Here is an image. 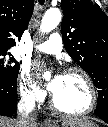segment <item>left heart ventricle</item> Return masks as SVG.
I'll use <instances>...</instances> for the list:
<instances>
[{
	"label": "left heart ventricle",
	"mask_w": 108,
	"mask_h": 127,
	"mask_svg": "<svg viewBox=\"0 0 108 127\" xmlns=\"http://www.w3.org/2000/svg\"><path fill=\"white\" fill-rule=\"evenodd\" d=\"M54 98L59 107L66 111L84 110L89 103V91L83 78L75 73L62 74Z\"/></svg>",
	"instance_id": "1"
}]
</instances>
